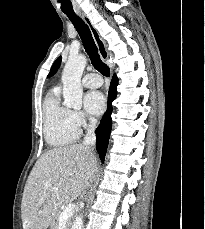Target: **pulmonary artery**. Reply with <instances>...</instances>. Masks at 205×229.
I'll return each mask as SVG.
<instances>
[{
  "label": "pulmonary artery",
  "instance_id": "obj_1",
  "mask_svg": "<svg viewBox=\"0 0 205 229\" xmlns=\"http://www.w3.org/2000/svg\"><path fill=\"white\" fill-rule=\"evenodd\" d=\"M102 83V78L96 73H88L82 79V84L87 88H98Z\"/></svg>",
  "mask_w": 205,
  "mask_h": 229
}]
</instances>
